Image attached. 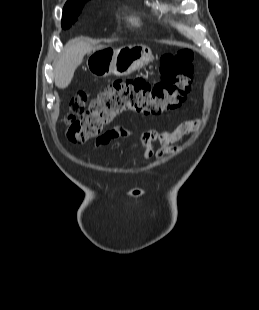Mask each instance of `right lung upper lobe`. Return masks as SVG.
Masks as SVG:
<instances>
[{"mask_svg":"<svg viewBox=\"0 0 259 310\" xmlns=\"http://www.w3.org/2000/svg\"><path fill=\"white\" fill-rule=\"evenodd\" d=\"M84 1H88V0H68L65 4L63 10H68L70 8H73L77 5H79V3L84 2Z\"/></svg>","mask_w":259,"mask_h":310,"instance_id":"cb5924a9","label":"right lung upper lobe"}]
</instances>
